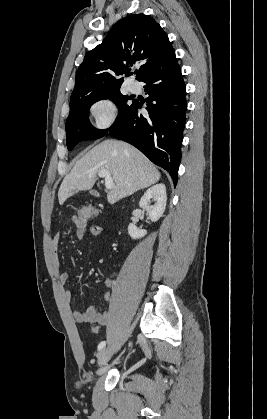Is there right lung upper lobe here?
I'll return each instance as SVG.
<instances>
[{
    "label": "right lung upper lobe",
    "mask_w": 267,
    "mask_h": 419,
    "mask_svg": "<svg viewBox=\"0 0 267 419\" xmlns=\"http://www.w3.org/2000/svg\"><path fill=\"white\" fill-rule=\"evenodd\" d=\"M167 34L150 16L132 14L119 20L103 42L86 53L76 74L70 102L88 95L120 90L134 64L137 80L176 62Z\"/></svg>",
    "instance_id": "right-lung-upper-lobe-1"
}]
</instances>
